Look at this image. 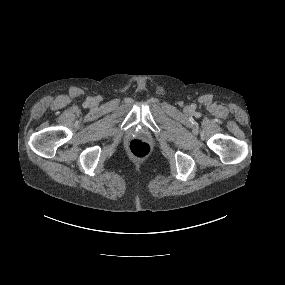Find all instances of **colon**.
I'll return each instance as SVG.
<instances>
[{"label":"colon","mask_w":285,"mask_h":285,"mask_svg":"<svg viewBox=\"0 0 285 285\" xmlns=\"http://www.w3.org/2000/svg\"><path fill=\"white\" fill-rule=\"evenodd\" d=\"M150 145L141 139H134L129 144V151L135 158H145L150 153Z\"/></svg>","instance_id":"1"}]
</instances>
